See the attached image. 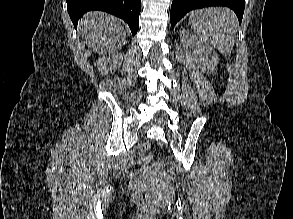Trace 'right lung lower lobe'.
Returning <instances> with one entry per match:
<instances>
[{"label": "right lung lower lobe", "mask_w": 293, "mask_h": 219, "mask_svg": "<svg viewBox=\"0 0 293 219\" xmlns=\"http://www.w3.org/2000/svg\"><path fill=\"white\" fill-rule=\"evenodd\" d=\"M67 10L75 28L84 13L100 10L126 21L135 35L139 27L141 0H67Z\"/></svg>", "instance_id": "obj_1"}]
</instances>
